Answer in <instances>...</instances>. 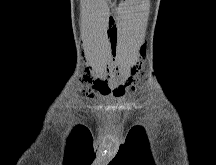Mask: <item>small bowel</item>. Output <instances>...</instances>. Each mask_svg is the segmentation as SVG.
<instances>
[{
    "label": "small bowel",
    "mask_w": 216,
    "mask_h": 165,
    "mask_svg": "<svg viewBox=\"0 0 216 165\" xmlns=\"http://www.w3.org/2000/svg\"><path fill=\"white\" fill-rule=\"evenodd\" d=\"M110 40H111V42L113 43V44H115V42H116V38H117V31H116V29L115 28H111L110 29Z\"/></svg>",
    "instance_id": "c3829d8e"
}]
</instances>
